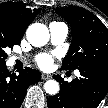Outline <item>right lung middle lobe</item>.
<instances>
[{
    "mask_svg": "<svg viewBox=\"0 0 108 108\" xmlns=\"http://www.w3.org/2000/svg\"><path fill=\"white\" fill-rule=\"evenodd\" d=\"M21 39L10 30L4 20L0 19V63H5V58L7 57L4 49L20 44Z\"/></svg>",
    "mask_w": 108,
    "mask_h": 108,
    "instance_id": "dd1d6c3e",
    "label": "right lung middle lobe"
}]
</instances>
